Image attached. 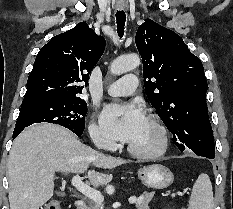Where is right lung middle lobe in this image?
Returning a JSON list of instances; mask_svg holds the SVG:
<instances>
[{"instance_id": "1", "label": "right lung middle lobe", "mask_w": 233, "mask_h": 209, "mask_svg": "<svg viewBox=\"0 0 233 209\" xmlns=\"http://www.w3.org/2000/svg\"><path fill=\"white\" fill-rule=\"evenodd\" d=\"M87 104L82 99L42 100L21 104L14 131L34 123H55L82 134L85 128Z\"/></svg>"}]
</instances>
